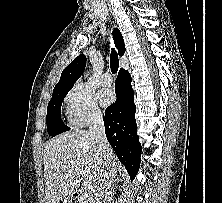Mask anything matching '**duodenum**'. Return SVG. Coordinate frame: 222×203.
I'll return each mask as SVG.
<instances>
[{
	"instance_id": "1",
	"label": "duodenum",
	"mask_w": 222,
	"mask_h": 203,
	"mask_svg": "<svg viewBox=\"0 0 222 203\" xmlns=\"http://www.w3.org/2000/svg\"><path fill=\"white\" fill-rule=\"evenodd\" d=\"M76 203H93L91 197L82 190H76L71 195Z\"/></svg>"
}]
</instances>
